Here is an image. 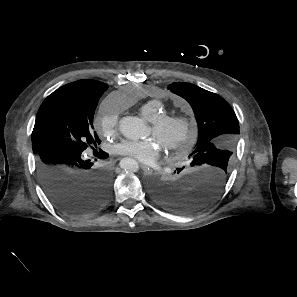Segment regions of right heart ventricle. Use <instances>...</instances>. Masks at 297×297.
Instances as JSON below:
<instances>
[{
	"instance_id": "right-heart-ventricle-1",
	"label": "right heart ventricle",
	"mask_w": 297,
	"mask_h": 297,
	"mask_svg": "<svg viewBox=\"0 0 297 297\" xmlns=\"http://www.w3.org/2000/svg\"><path fill=\"white\" fill-rule=\"evenodd\" d=\"M139 111L149 122L166 114L165 105L161 99H151L145 102L140 106Z\"/></svg>"
}]
</instances>
